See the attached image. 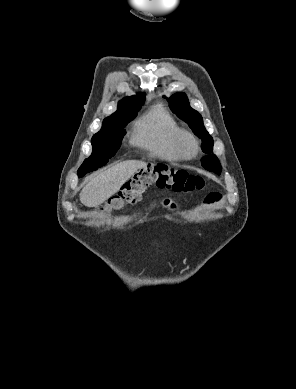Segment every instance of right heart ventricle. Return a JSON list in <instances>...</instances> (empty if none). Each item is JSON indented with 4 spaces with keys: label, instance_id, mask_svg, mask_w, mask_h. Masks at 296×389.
Here are the masks:
<instances>
[{
    "label": "right heart ventricle",
    "instance_id": "right-heart-ventricle-1",
    "mask_svg": "<svg viewBox=\"0 0 296 389\" xmlns=\"http://www.w3.org/2000/svg\"><path fill=\"white\" fill-rule=\"evenodd\" d=\"M181 128L173 116L157 105L145 112L133 126L130 142L152 157L180 161L175 140Z\"/></svg>",
    "mask_w": 296,
    "mask_h": 389
}]
</instances>
